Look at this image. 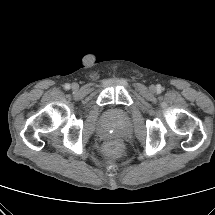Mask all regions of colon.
Returning a JSON list of instances; mask_svg holds the SVG:
<instances>
[{"instance_id":"colon-1","label":"colon","mask_w":215,"mask_h":215,"mask_svg":"<svg viewBox=\"0 0 215 215\" xmlns=\"http://www.w3.org/2000/svg\"><path fill=\"white\" fill-rule=\"evenodd\" d=\"M104 152L108 156H119L123 152V146L118 141H111L104 146Z\"/></svg>"}]
</instances>
